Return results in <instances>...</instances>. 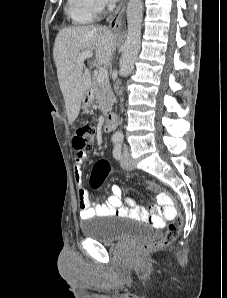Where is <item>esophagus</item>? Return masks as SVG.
<instances>
[{"label": "esophagus", "mask_w": 227, "mask_h": 298, "mask_svg": "<svg viewBox=\"0 0 227 298\" xmlns=\"http://www.w3.org/2000/svg\"><path fill=\"white\" fill-rule=\"evenodd\" d=\"M127 0H122L115 10L114 14L111 16L109 21V26L112 29L119 30L122 26V18L125 12V6H126Z\"/></svg>", "instance_id": "1"}]
</instances>
